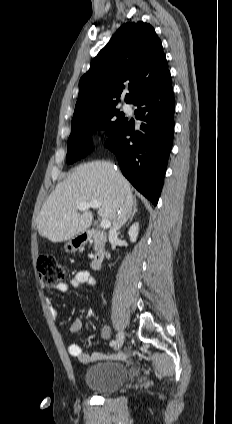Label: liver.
Segmentation results:
<instances>
[{
    "label": "liver",
    "instance_id": "6515ba94",
    "mask_svg": "<svg viewBox=\"0 0 232 424\" xmlns=\"http://www.w3.org/2000/svg\"><path fill=\"white\" fill-rule=\"evenodd\" d=\"M128 195L132 196L130 183L112 163L79 165L43 203L37 220L39 235L57 243L84 233L92 224L93 214L88 209L78 212L82 202L100 201L98 215L113 221Z\"/></svg>",
    "mask_w": 232,
    "mask_h": 424
}]
</instances>
